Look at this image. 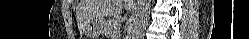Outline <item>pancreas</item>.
Masks as SVG:
<instances>
[{
    "mask_svg": "<svg viewBox=\"0 0 249 39\" xmlns=\"http://www.w3.org/2000/svg\"><path fill=\"white\" fill-rule=\"evenodd\" d=\"M121 25V21L119 18H110L104 27V34L106 36H118L119 27Z\"/></svg>",
    "mask_w": 249,
    "mask_h": 39,
    "instance_id": "obj_1",
    "label": "pancreas"
}]
</instances>
